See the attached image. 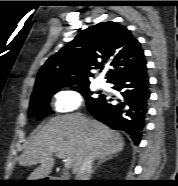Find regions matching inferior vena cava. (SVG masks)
Masks as SVG:
<instances>
[{
  "instance_id": "1",
  "label": "inferior vena cava",
  "mask_w": 178,
  "mask_h": 186,
  "mask_svg": "<svg viewBox=\"0 0 178 186\" xmlns=\"http://www.w3.org/2000/svg\"><path fill=\"white\" fill-rule=\"evenodd\" d=\"M93 159L94 156L92 154L87 155L80 167L79 172L76 174V180H90Z\"/></svg>"
}]
</instances>
